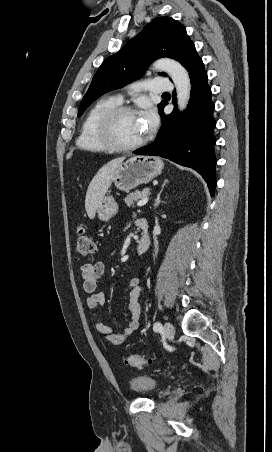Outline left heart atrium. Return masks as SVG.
<instances>
[{"mask_svg":"<svg viewBox=\"0 0 272 452\" xmlns=\"http://www.w3.org/2000/svg\"><path fill=\"white\" fill-rule=\"evenodd\" d=\"M143 118H144V126L146 129V132L156 126L157 115L153 109L147 108L144 112Z\"/></svg>","mask_w":272,"mask_h":452,"instance_id":"obj_1","label":"left heart atrium"}]
</instances>
